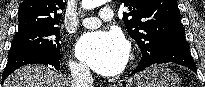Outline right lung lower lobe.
<instances>
[{"mask_svg": "<svg viewBox=\"0 0 205 87\" xmlns=\"http://www.w3.org/2000/svg\"><path fill=\"white\" fill-rule=\"evenodd\" d=\"M40 63L52 65L56 69L60 68V59L37 51L20 50L9 51L8 62L2 75V82L17 68L26 64Z\"/></svg>", "mask_w": 205, "mask_h": 87, "instance_id": "right-lung-lower-lobe-1", "label": "right lung lower lobe"}]
</instances>
